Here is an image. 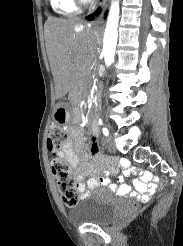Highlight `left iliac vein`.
<instances>
[{
  "label": "left iliac vein",
  "mask_w": 183,
  "mask_h": 246,
  "mask_svg": "<svg viewBox=\"0 0 183 246\" xmlns=\"http://www.w3.org/2000/svg\"><path fill=\"white\" fill-rule=\"evenodd\" d=\"M105 146L110 152H115L116 151V146L113 137H108L105 140Z\"/></svg>",
  "instance_id": "left-iliac-vein-1"
}]
</instances>
